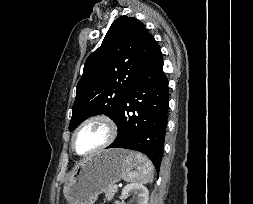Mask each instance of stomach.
<instances>
[{
    "instance_id": "0dacf381",
    "label": "stomach",
    "mask_w": 253,
    "mask_h": 204,
    "mask_svg": "<svg viewBox=\"0 0 253 204\" xmlns=\"http://www.w3.org/2000/svg\"><path fill=\"white\" fill-rule=\"evenodd\" d=\"M136 156L133 151L109 149L84 159L63 187L68 204H94L99 194L137 166Z\"/></svg>"
}]
</instances>
